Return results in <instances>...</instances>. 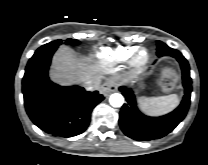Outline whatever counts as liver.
Instances as JSON below:
<instances>
[{"mask_svg": "<svg viewBox=\"0 0 208 165\" xmlns=\"http://www.w3.org/2000/svg\"><path fill=\"white\" fill-rule=\"evenodd\" d=\"M103 74L101 68L77 58L67 46H62L54 56L52 78L62 84L85 82Z\"/></svg>", "mask_w": 208, "mask_h": 165, "instance_id": "1", "label": "liver"}]
</instances>
